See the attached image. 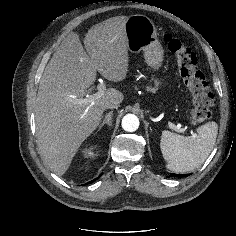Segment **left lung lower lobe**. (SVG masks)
Returning a JSON list of instances; mask_svg holds the SVG:
<instances>
[{
	"label": "left lung lower lobe",
	"instance_id": "0a47b994",
	"mask_svg": "<svg viewBox=\"0 0 236 236\" xmlns=\"http://www.w3.org/2000/svg\"><path fill=\"white\" fill-rule=\"evenodd\" d=\"M189 174H171L169 177L175 176V177H186Z\"/></svg>",
	"mask_w": 236,
	"mask_h": 236
}]
</instances>
